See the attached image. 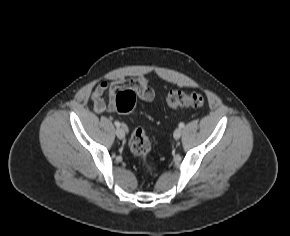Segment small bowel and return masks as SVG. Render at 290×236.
Instances as JSON below:
<instances>
[{
	"label": "small bowel",
	"mask_w": 290,
	"mask_h": 236,
	"mask_svg": "<svg viewBox=\"0 0 290 236\" xmlns=\"http://www.w3.org/2000/svg\"><path fill=\"white\" fill-rule=\"evenodd\" d=\"M122 88L133 89L146 102H153L155 97L154 91L148 85V80L143 76L116 79L96 86L92 92L94 110L97 113H103L106 110L113 111L116 92ZM106 96L109 97V102Z\"/></svg>",
	"instance_id": "c3829d8e"
}]
</instances>
